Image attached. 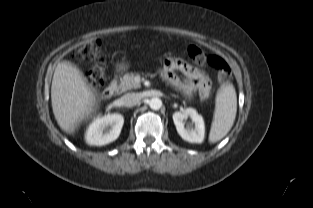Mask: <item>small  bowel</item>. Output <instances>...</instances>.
<instances>
[{"mask_svg": "<svg viewBox=\"0 0 313 208\" xmlns=\"http://www.w3.org/2000/svg\"><path fill=\"white\" fill-rule=\"evenodd\" d=\"M176 71L181 72L186 77V80H180L175 73ZM164 74L167 80L186 96H191L198 92L201 98L207 99L211 94V82L208 76L203 71L181 59H166Z\"/></svg>", "mask_w": 313, "mask_h": 208, "instance_id": "small-bowel-1", "label": "small bowel"}]
</instances>
